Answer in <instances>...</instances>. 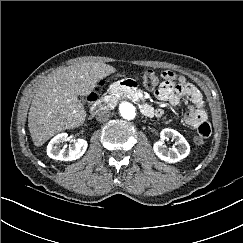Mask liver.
I'll return each mask as SVG.
<instances>
[{
  "instance_id": "1",
  "label": "liver",
  "mask_w": 243,
  "mask_h": 243,
  "mask_svg": "<svg viewBox=\"0 0 243 243\" xmlns=\"http://www.w3.org/2000/svg\"><path fill=\"white\" fill-rule=\"evenodd\" d=\"M116 69L103 62H82L57 70L38 86L28 115L35 146H42L56 133L82 125L86 111L78 96H87L97 82Z\"/></svg>"
}]
</instances>
